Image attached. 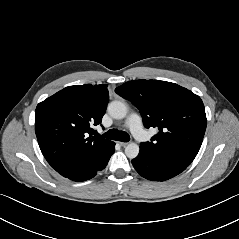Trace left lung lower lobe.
<instances>
[{
  "mask_svg": "<svg viewBox=\"0 0 239 239\" xmlns=\"http://www.w3.org/2000/svg\"><path fill=\"white\" fill-rule=\"evenodd\" d=\"M132 164L141 176L154 181L168 180L187 168L155 153L147 152L141 147L139 155L132 160Z\"/></svg>",
  "mask_w": 239,
  "mask_h": 239,
  "instance_id": "left-lung-lower-lobe-1",
  "label": "left lung lower lobe"
}]
</instances>
